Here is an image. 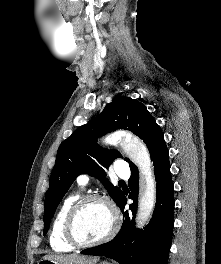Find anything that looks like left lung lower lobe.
<instances>
[{"instance_id": "left-lung-lower-lobe-1", "label": "left lung lower lobe", "mask_w": 221, "mask_h": 264, "mask_svg": "<svg viewBox=\"0 0 221 264\" xmlns=\"http://www.w3.org/2000/svg\"><path fill=\"white\" fill-rule=\"evenodd\" d=\"M156 177V205L150 223L144 230L135 228V212L138 194V171L131 172L128 185L131 212L124 211L125 195L119 203L124 222L116 237L105 244L85 249L83 254L105 256L120 264H167L174 225L173 182L170 173L168 149L163 141L153 157Z\"/></svg>"}]
</instances>
